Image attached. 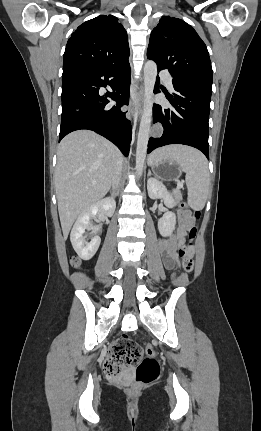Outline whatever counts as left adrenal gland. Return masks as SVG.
<instances>
[{
	"instance_id": "1",
	"label": "left adrenal gland",
	"mask_w": 261,
	"mask_h": 431,
	"mask_svg": "<svg viewBox=\"0 0 261 431\" xmlns=\"http://www.w3.org/2000/svg\"><path fill=\"white\" fill-rule=\"evenodd\" d=\"M150 175H151V171L148 172V176H150Z\"/></svg>"
}]
</instances>
